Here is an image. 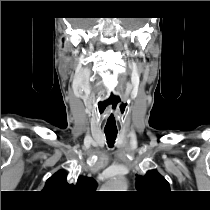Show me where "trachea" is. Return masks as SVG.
Here are the masks:
<instances>
[{
    "mask_svg": "<svg viewBox=\"0 0 210 210\" xmlns=\"http://www.w3.org/2000/svg\"><path fill=\"white\" fill-rule=\"evenodd\" d=\"M104 133L106 135L108 146L112 147L117 137V131H104Z\"/></svg>",
    "mask_w": 210,
    "mask_h": 210,
    "instance_id": "3493384b",
    "label": "trachea"
}]
</instances>
